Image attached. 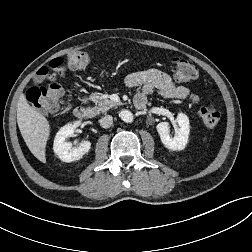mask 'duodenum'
<instances>
[{"instance_id": "duodenum-1", "label": "duodenum", "mask_w": 252, "mask_h": 252, "mask_svg": "<svg viewBox=\"0 0 252 252\" xmlns=\"http://www.w3.org/2000/svg\"><path fill=\"white\" fill-rule=\"evenodd\" d=\"M145 104V102H140L139 107L142 108L145 106ZM74 115L78 120L84 121L93 116V111L88 107L80 106L74 110Z\"/></svg>"}]
</instances>
